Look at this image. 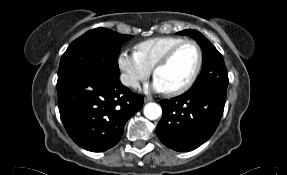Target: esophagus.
Instances as JSON below:
<instances>
[{
	"instance_id": "obj_1",
	"label": "esophagus",
	"mask_w": 287,
	"mask_h": 175,
	"mask_svg": "<svg viewBox=\"0 0 287 175\" xmlns=\"http://www.w3.org/2000/svg\"><path fill=\"white\" fill-rule=\"evenodd\" d=\"M152 100H153V98L150 97V96H146V97L144 98V102H150V101H152Z\"/></svg>"
}]
</instances>
